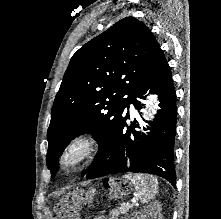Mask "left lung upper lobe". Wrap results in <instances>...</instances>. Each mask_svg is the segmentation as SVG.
Here are the masks:
<instances>
[{
    "label": "left lung upper lobe",
    "mask_w": 221,
    "mask_h": 219,
    "mask_svg": "<svg viewBox=\"0 0 221 219\" xmlns=\"http://www.w3.org/2000/svg\"><path fill=\"white\" fill-rule=\"evenodd\" d=\"M158 49L149 28L134 17H126L73 55L55 97L47 131L46 164L52 177L58 155L85 132H91L99 143L91 166L95 163Z\"/></svg>",
    "instance_id": "obj_1"
}]
</instances>
